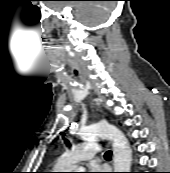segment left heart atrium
Segmentation results:
<instances>
[{"mask_svg":"<svg viewBox=\"0 0 170 173\" xmlns=\"http://www.w3.org/2000/svg\"><path fill=\"white\" fill-rule=\"evenodd\" d=\"M89 170L91 173H101L103 171V168L98 166L97 164H92Z\"/></svg>","mask_w":170,"mask_h":173,"instance_id":"obj_1","label":"left heart atrium"}]
</instances>
